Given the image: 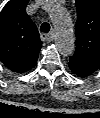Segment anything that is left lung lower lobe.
Segmentation results:
<instances>
[{
    "instance_id": "obj_1",
    "label": "left lung lower lobe",
    "mask_w": 100,
    "mask_h": 118,
    "mask_svg": "<svg viewBox=\"0 0 100 118\" xmlns=\"http://www.w3.org/2000/svg\"><path fill=\"white\" fill-rule=\"evenodd\" d=\"M70 70L79 77H87L92 74V72L81 68L75 64L68 63Z\"/></svg>"
}]
</instances>
